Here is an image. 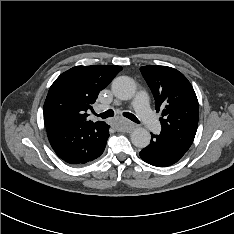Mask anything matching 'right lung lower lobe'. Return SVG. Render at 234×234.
Wrapping results in <instances>:
<instances>
[{"instance_id":"obj_1","label":"right lung lower lobe","mask_w":234,"mask_h":234,"mask_svg":"<svg viewBox=\"0 0 234 234\" xmlns=\"http://www.w3.org/2000/svg\"><path fill=\"white\" fill-rule=\"evenodd\" d=\"M56 154L69 164H84L98 158L109 137V126L102 123H74L47 130Z\"/></svg>"}]
</instances>
